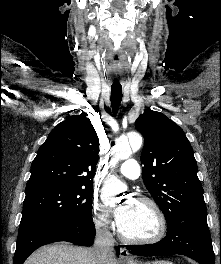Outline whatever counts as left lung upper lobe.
Instances as JSON below:
<instances>
[{
    "mask_svg": "<svg viewBox=\"0 0 221 264\" xmlns=\"http://www.w3.org/2000/svg\"><path fill=\"white\" fill-rule=\"evenodd\" d=\"M135 127L145 139L143 181L167 224L206 221L197 163L183 130L164 114L151 110L138 117Z\"/></svg>",
    "mask_w": 221,
    "mask_h": 264,
    "instance_id": "left-lung-upper-lobe-1",
    "label": "left lung upper lobe"
}]
</instances>
